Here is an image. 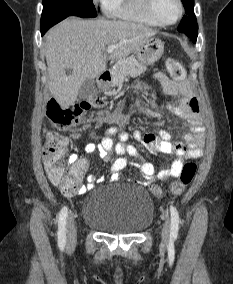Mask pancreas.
I'll return each mask as SVG.
<instances>
[{"label": "pancreas", "mask_w": 233, "mask_h": 284, "mask_svg": "<svg viewBox=\"0 0 233 284\" xmlns=\"http://www.w3.org/2000/svg\"><path fill=\"white\" fill-rule=\"evenodd\" d=\"M146 66L139 62L135 56L121 59L115 65L114 81L117 86L121 85L127 77L138 76L146 71Z\"/></svg>", "instance_id": "1"}]
</instances>
